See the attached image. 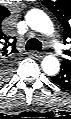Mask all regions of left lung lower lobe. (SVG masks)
<instances>
[{"label":"left lung lower lobe","mask_w":71,"mask_h":119,"mask_svg":"<svg viewBox=\"0 0 71 119\" xmlns=\"http://www.w3.org/2000/svg\"><path fill=\"white\" fill-rule=\"evenodd\" d=\"M51 80L57 85L65 89L71 88V67L67 65L61 66V71L54 77H51Z\"/></svg>","instance_id":"obj_1"}]
</instances>
